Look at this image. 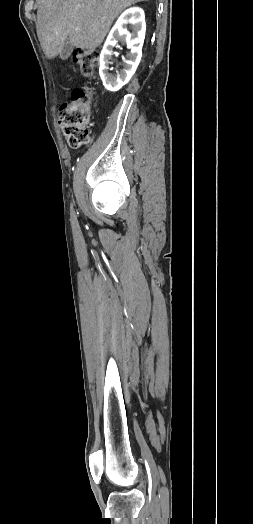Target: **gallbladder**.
<instances>
[{"label": "gallbladder", "instance_id": "bac80fb5", "mask_svg": "<svg viewBox=\"0 0 253 524\" xmlns=\"http://www.w3.org/2000/svg\"><path fill=\"white\" fill-rule=\"evenodd\" d=\"M73 51V45L69 39L65 41V44L63 45L61 51H60V58L62 60H66L69 58Z\"/></svg>", "mask_w": 253, "mask_h": 524}]
</instances>
